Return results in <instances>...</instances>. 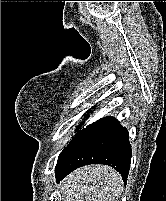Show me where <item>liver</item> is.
Masks as SVG:
<instances>
[{"label": "liver", "mask_w": 166, "mask_h": 201, "mask_svg": "<svg viewBox=\"0 0 166 201\" xmlns=\"http://www.w3.org/2000/svg\"><path fill=\"white\" fill-rule=\"evenodd\" d=\"M58 188L63 201H117L123 181L110 166L88 165L70 173Z\"/></svg>", "instance_id": "obj_1"}]
</instances>
